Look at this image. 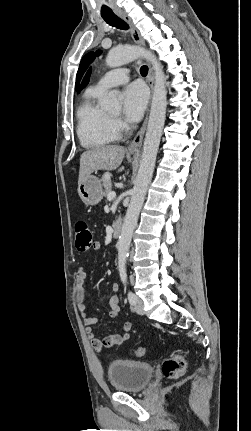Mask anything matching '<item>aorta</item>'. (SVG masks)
Masks as SVG:
<instances>
[{
    "label": "aorta",
    "instance_id": "1",
    "mask_svg": "<svg viewBox=\"0 0 251 431\" xmlns=\"http://www.w3.org/2000/svg\"><path fill=\"white\" fill-rule=\"evenodd\" d=\"M140 57H144L151 62L154 70L155 83L150 116L143 144L142 159L118 240V268L120 270L125 269L132 235L144 203L148 186L152 179L165 123L167 91L163 66L157 61L156 56L152 52L138 46L116 47L112 48L106 57V64L111 68L122 66ZM101 106L105 109L116 108L118 106L117 94L115 92L108 93L102 101Z\"/></svg>",
    "mask_w": 251,
    "mask_h": 431
}]
</instances>
